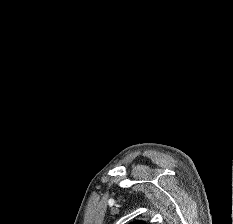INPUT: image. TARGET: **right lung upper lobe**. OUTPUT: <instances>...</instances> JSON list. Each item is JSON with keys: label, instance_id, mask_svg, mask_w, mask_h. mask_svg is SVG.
I'll use <instances>...</instances> for the list:
<instances>
[{"label": "right lung upper lobe", "instance_id": "cb5924a9", "mask_svg": "<svg viewBox=\"0 0 233 224\" xmlns=\"http://www.w3.org/2000/svg\"><path fill=\"white\" fill-rule=\"evenodd\" d=\"M130 224H147V223H145V222H143V221H135V222H132V223H130Z\"/></svg>", "mask_w": 233, "mask_h": 224}]
</instances>
